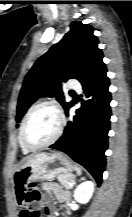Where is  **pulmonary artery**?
Listing matches in <instances>:
<instances>
[{
	"mask_svg": "<svg viewBox=\"0 0 132 217\" xmlns=\"http://www.w3.org/2000/svg\"><path fill=\"white\" fill-rule=\"evenodd\" d=\"M70 87L72 88V89H74L75 91H77V92H81V86H80V84H78V83H72L71 85H70Z\"/></svg>",
	"mask_w": 132,
	"mask_h": 217,
	"instance_id": "obj_1",
	"label": "pulmonary artery"
}]
</instances>
